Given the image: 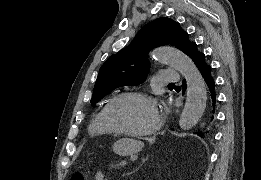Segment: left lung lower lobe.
I'll return each mask as SVG.
<instances>
[{"label":"left lung lower lobe","mask_w":261,"mask_h":180,"mask_svg":"<svg viewBox=\"0 0 261 180\" xmlns=\"http://www.w3.org/2000/svg\"><path fill=\"white\" fill-rule=\"evenodd\" d=\"M188 56L194 61L196 67L199 69L200 73L202 74V77L204 78L205 82L208 85L210 91V99L212 103L211 113L214 114L216 94H215V81L211 73V66L206 63L204 53L198 51L196 44L190 49ZM213 118L214 117L212 116L211 119ZM198 134L202 136L205 134V132L202 134L200 133Z\"/></svg>","instance_id":"1"}]
</instances>
